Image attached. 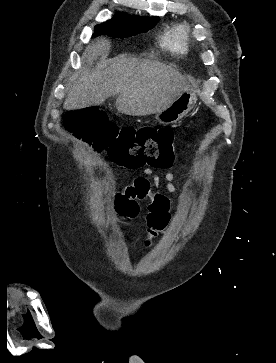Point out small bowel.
<instances>
[{
  "instance_id": "1",
  "label": "small bowel",
  "mask_w": 276,
  "mask_h": 363,
  "mask_svg": "<svg viewBox=\"0 0 276 363\" xmlns=\"http://www.w3.org/2000/svg\"><path fill=\"white\" fill-rule=\"evenodd\" d=\"M173 174L167 172L163 179L154 175L149 168L144 169V176L136 178L121 193H119L116 205L123 214L129 219L136 218L140 213L139 202L149 200L148 215H156L158 220H164V215L168 211V197L157 190V186L162 183L164 189L169 194H176L177 188L172 183ZM148 237L153 238L160 230H156L149 226L148 221Z\"/></svg>"
}]
</instances>
